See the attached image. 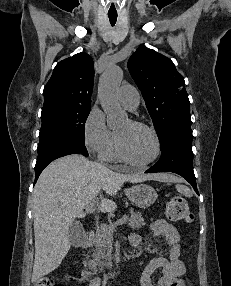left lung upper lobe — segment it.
Returning a JSON list of instances; mask_svg holds the SVG:
<instances>
[{"label": "left lung upper lobe", "instance_id": "5c2ea615", "mask_svg": "<svg viewBox=\"0 0 231 286\" xmlns=\"http://www.w3.org/2000/svg\"><path fill=\"white\" fill-rule=\"evenodd\" d=\"M128 69L159 138L171 127L191 126L185 81L169 58L141 45L130 57Z\"/></svg>", "mask_w": 231, "mask_h": 286}]
</instances>
